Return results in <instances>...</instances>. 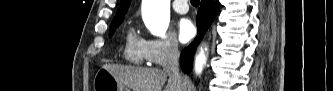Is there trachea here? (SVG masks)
I'll use <instances>...</instances> for the list:
<instances>
[{"label":"trachea","instance_id":"obj_1","mask_svg":"<svg viewBox=\"0 0 333 91\" xmlns=\"http://www.w3.org/2000/svg\"><path fill=\"white\" fill-rule=\"evenodd\" d=\"M190 2H191L192 4H196V3H199V0H190Z\"/></svg>","mask_w":333,"mask_h":91}]
</instances>
